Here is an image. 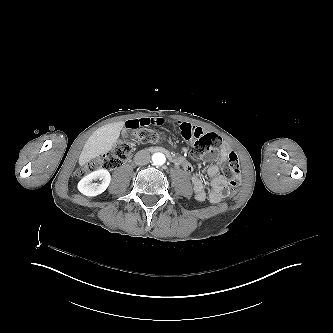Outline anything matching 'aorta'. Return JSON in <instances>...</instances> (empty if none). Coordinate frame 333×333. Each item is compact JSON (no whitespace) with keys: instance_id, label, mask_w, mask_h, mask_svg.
Instances as JSON below:
<instances>
[{"instance_id":"762f6f07","label":"aorta","mask_w":333,"mask_h":333,"mask_svg":"<svg viewBox=\"0 0 333 333\" xmlns=\"http://www.w3.org/2000/svg\"><path fill=\"white\" fill-rule=\"evenodd\" d=\"M155 165H163L166 162V156L163 153H155L152 157Z\"/></svg>"}]
</instances>
